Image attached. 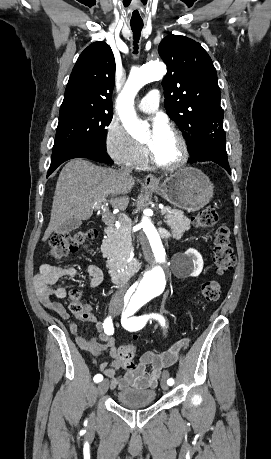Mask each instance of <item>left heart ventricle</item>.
I'll list each match as a JSON object with an SVG mask.
<instances>
[{
  "label": "left heart ventricle",
  "instance_id": "left-heart-ventricle-1",
  "mask_svg": "<svg viewBox=\"0 0 271 459\" xmlns=\"http://www.w3.org/2000/svg\"><path fill=\"white\" fill-rule=\"evenodd\" d=\"M145 142L162 159H171L177 153V144L169 131L158 138H153L152 131H149Z\"/></svg>",
  "mask_w": 271,
  "mask_h": 459
}]
</instances>
